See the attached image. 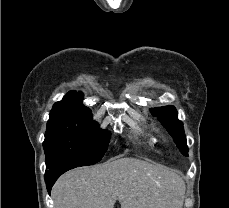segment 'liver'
<instances>
[{
	"label": "liver",
	"mask_w": 229,
	"mask_h": 208,
	"mask_svg": "<svg viewBox=\"0 0 229 208\" xmlns=\"http://www.w3.org/2000/svg\"><path fill=\"white\" fill-rule=\"evenodd\" d=\"M185 182L161 164L121 158L110 164L76 168L52 188L56 208H177Z\"/></svg>",
	"instance_id": "liver-1"
}]
</instances>
